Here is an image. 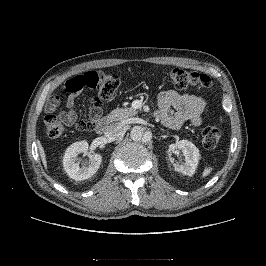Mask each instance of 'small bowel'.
I'll use <instances>...</instances> for the list:
<instances>
[{
  "mask_svg": "<svg viewBox=\"0 0 266 266\" xmlns=\"http://www.w3.org/2000/svg\"><path fill=\"white\" fill-rule=\"evenodd\" d=\"M68 93L65 99L66 110L61 113V118L70 125L76 120L74 106L77 92ZM158 106L157 113L161 122L171 129L179 128L184 122L198 126L207 111V104L201 97L188 93L179 94L173 90L163 91L159 94Z\"/></svg>",
  "mask_w": 266,
  "mask_h": 266,
  "instance_id": "small-bowel-1",
  "label": "small bowel"
}]
</instances>
